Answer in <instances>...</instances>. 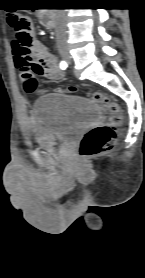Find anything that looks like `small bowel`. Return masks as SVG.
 I'll return each instance as SVG.
<instances>
[{
  "label": "small bowel",
  "mask_w": 145,
  "mask_h": 278,
  "mask_svg": "<svg viewBox=\"0 0 145 278\" xmlns=\"http://www.w3.org/2000/svg\"><path fill=\"white\" fill-rule=\"evenodd\" d=\"M12 54L25 91L31 77H33V71L48 81H54L62 76V69L56 57L46 46L38 41L32 42L29 48H24L16 36H14L12 40Z\"/></svg>",
  "instance_id": "obj_1"
}]
</instances>
